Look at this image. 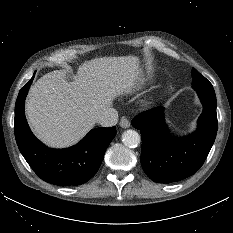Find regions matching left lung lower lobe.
<instances>
[{"mask_svg": "<svg viewBox=\"0 0 233 233\" xmlns=\"http://www.w3.org/2000/svg\"><path fill=\"white\" fill-rule=\"evenodd\" d=\"M202 104L198 129L179 138L169 134L163 107L144 112L132 121L142 137L141 165L146 175L158 183H172L197 172L214 143L218 122L216 96L212 84L193 85Z\"/></svg>", "mask_w": 233, "mask_h": 233, "instance_id": "obj_1", "label": "left lung lower lobe"}]
</instances>
